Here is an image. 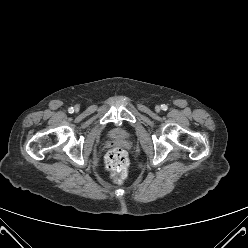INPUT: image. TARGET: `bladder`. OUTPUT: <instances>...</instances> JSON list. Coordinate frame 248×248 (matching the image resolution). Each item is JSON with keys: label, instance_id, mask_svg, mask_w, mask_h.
Segmentation results:
<instances>
[{"label": "bladder", "instance_id": "1", "mask_svg": "<svg viewBox=\"0 0 248 248\" xmlns=\"http://www.w3.org/2000/svg\"><path fill=\"white\" fill-rule=\"evenodd\" d=\"M114 135L116 137H125V132H123L122 130H115Z\"/></svg>", "mask_w": 248, "mask_h": 248}]
</instances>
